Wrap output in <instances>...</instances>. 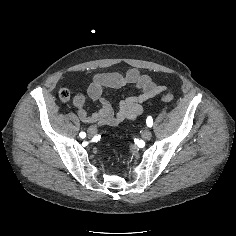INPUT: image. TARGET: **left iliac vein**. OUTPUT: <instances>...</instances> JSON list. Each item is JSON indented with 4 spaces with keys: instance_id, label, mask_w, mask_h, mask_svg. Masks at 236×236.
I'll return each mask as SVG.
<instances>
[{
    "instance_id": "1",
    "label": "left iliac vein",
    "mask_w": 236,
    "mask_h": 236,
    "mask_svg": "<svg viewBox=\"0 0 236 236\" xmlns=\"http://www.w3.org/2000/svg\"><path fill=\"white\" fill-rule=\"evenodd\" d=\"M141 137H142L144 140H150L151 137H152V133H151L149 130H144V131H142V133H141Z\"/></svg>"
}]
</instances>
